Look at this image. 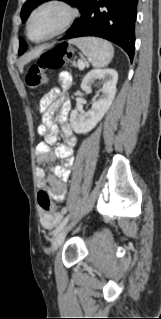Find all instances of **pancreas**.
<instances>
[{
  "instance_id": "obj_1",
  "label": "pancreas",
  "mask_w": 161,
  "mask_h": 319,
  "mask_svg": "<svg viewBox=\"0 0 161 319\" xmlns=\"http://www.w3.org/2000/svg\"><path fill=\"white\" fill-rule=\"evenodd\" d=\"M72 65H73V66H77L78 64H77L75 61H73V62H72Z\"/></svg>"
}]
</instances>
